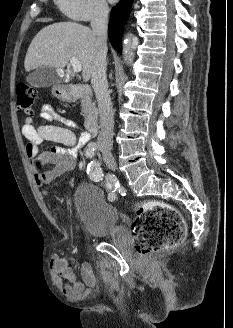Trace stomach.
<instances>
[{
	"label": "stomach",
	"mask_w": 233,
	"mask_h": 328,
	"mask_svg": "<svg viewBox=\"0 0 233 328\" xmlns=\"http://www.w3.org/2000/svg\"><path fill=\"white\" fill-rule=\"evenodd\" d=\"M54 94H55L56 97H60V98H63V99H69V98H70V96L67 95L66 93H64V94H62V95H59V94H57V93H54Z\"/></svg>",
	"instance_id": "stomach-1"
}]
</instances>
